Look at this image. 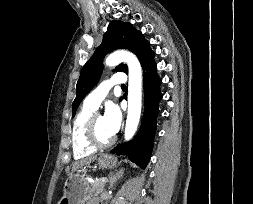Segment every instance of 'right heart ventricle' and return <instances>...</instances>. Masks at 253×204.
Segmentation results:
<instances>
[{"mask_svg":"<svg viewBox=\"0 0 253 204\" xmlns=\"http://www.w3.org/2000/svg\"><path fill=\"white\" fill-rule=\"evenodd\" d=\"M95 109L83 105L77 113L72 127V150L76 159H82L95 153L96 148L86 138V127Z\"/></svg>","mask_w":253,"mask_h":204,"instance_id":"obj_1","label":"right heart ventricle"}]
</instances>
